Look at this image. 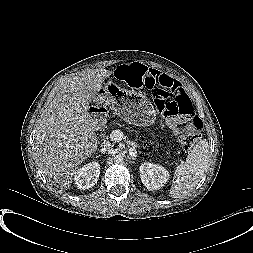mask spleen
Wrapping results in <instances>:
<instances>
[{"label":"spleen","instance_id":"obj_1","mask_svg":"<svg viewBox=\"0 0 253 253\" xmlns=\"http://www.w3.org/2000/svg\"><path fill=\"white\" fill-rule=\"evenodd\" d=\"M209 144L200 140L189 151L186 161L177 166L170 189L172 198L185 197L201 180L209 163Z\"/></svg>","mask_w":253,"mask_h":253}]
</instances>
